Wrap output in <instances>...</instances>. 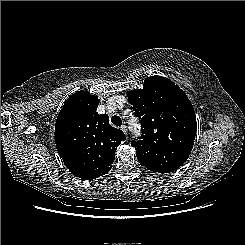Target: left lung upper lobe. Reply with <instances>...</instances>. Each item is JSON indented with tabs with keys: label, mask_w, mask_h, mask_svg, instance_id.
<instances>
[{
	"label": "left lung upper lobe",
	"mask_w": 245,
	"mask_h": 245,
	"mask_svg": "<svg viewBox=\"0 0 245 245\" xmlns=\"http://www.w3.org/2000/svg\"><path fill=\"white\" fill-rule=\"evenodd\" d=\"M142 135L133 139L139 163L148 170L169 173L189 157L196 135V116L190 100L162 76L145 79L143 89L127 92Z\"/></svg>",
	"instance_id": "left-lung-upper-lobe-1"
}]
</instances>
